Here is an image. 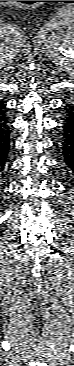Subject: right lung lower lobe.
<instances>
[{
    "mask_svg": "<svg viewBox=\"0 0 74 366\" xmlns=\"http://www.w3.org/2000/svg\"><path fill=\"white\" fill-rule=\"evenodd\" d=\"M5 105L0 101V167L3 169L10 148V127L5 115Z\"/></svg>",
    "mask_w": 74,
    "mask_h": 366,
    "instance_id": "obj_1",
    "label": "right lung lower lobe"
}]
</instances>
